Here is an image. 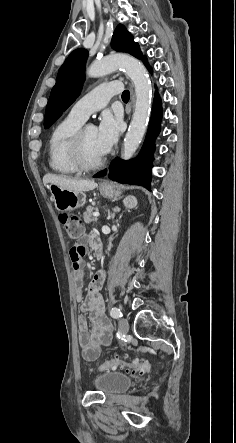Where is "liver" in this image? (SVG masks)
Wrapping results in <instances>:
<instances>
[{
  "label": "liver",
  "mask_w": 236,
  "mask_h": 443,
  "mask_svg": "<svg viewBox=\"0 0 236 443\" xmlns=\"http://www.w3.org/2000/svg\"><path fill=\"white\" fill-rule=\"evenodd\" d=\"M43 183L44 185L48 183L55 184L61 188L75 192L90 191L97 187V183L94 180H77L55 174H46L43 177Z\"/></svg>",
  "instance_id": "6515ba94"
}]
</instances>
